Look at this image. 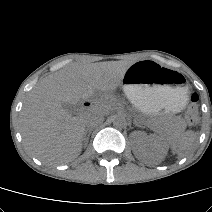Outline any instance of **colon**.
Segmentation results:
<instances>
[{"mask_svg":"<svg viewBox=\"0 0 212 212\" xmlns=\"http://www.w3.org/2000/svg\"><path fill=\"white\" fill-rule=\"evenodd\" d=\"M198 96L194 92L189 94V105L186 111V120L189 124H194L198 119Z\"/></svg>","mask_w":212,"mask_h":212,"instance_id":"5ec220e1","label":"colon"}]
</instances>
